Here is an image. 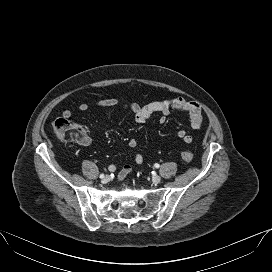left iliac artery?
<instances>
[{"instance_id": "1", "label": "left iliac artery", "mask_w": 272, "mask_h": 272, "mask_svg": "<svg viewBox=\"0 0 272 272\" xmlns=\"http://www.w3.org/2000/svg\"><path fill=\"white\" fill-rule=\"evenodd\" d=\"M154 167H155V168H159L160 165H159L158 163H156V164H154Z\"/></svg>"}]
</instances>
